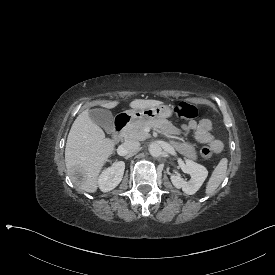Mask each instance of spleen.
<instances>
[{
	"label": "spleen",
	"instance_id": "obj_1",
	"mask_svg": "<svg viewBox=\"0 0 275 275\" xmlns=\"http://www.w3.org/2000/svg\"><path fill=\"white\" fill-rule=\"evenodd\" d=\"M227 158H222L207 183L206 186V194L211 195L214 191L219 187L221 182L224 180L227 171Z\"/></svg>",
	"mask_w": 275,
	"mask_h": 275
}]
</instances>
